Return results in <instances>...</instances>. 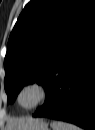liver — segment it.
<instances>
[{
    "label": "liver",
    "instance_id": "1",
    "mask_svg": "<svg viewBox=\"0 0 95 130\" xmlns=\"http://www.w3.org/2000/svg\"><path fill=\"white\" fill-rule=\"evenodd\" d=\"M27 120H28L27 118H21V119H17V120L13 119L9 123L7 130H16L17 128H20L22 125H24Z\"/></svg>",
    "mask_w": 95,
    "mask_h": 130
}]
</instances>
